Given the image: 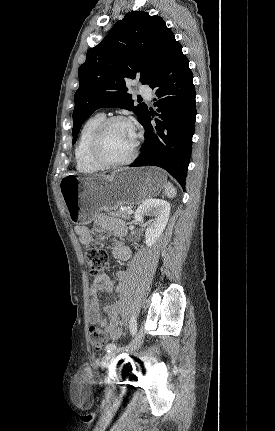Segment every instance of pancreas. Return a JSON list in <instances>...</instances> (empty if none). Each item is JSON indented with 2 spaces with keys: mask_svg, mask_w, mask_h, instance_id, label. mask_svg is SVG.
<instances>
[{
  "mask_svg": "<svg viewBox=\"0 0 275 431\" xmlns=\"http://www.w3.org/2000/svg\"><path fill=\"white\" fill-rule=\"evenodd\" d=\"M104 210L106 212L110 211L109 208H104ZM114 210L115 211L111 213L113 216L119 217V218H122V219H129L130 218V215L127 213L126 210H121V209H118V208H115Z\"/></svg>",
  "mask_w": 275,
  "mask_h": 431,
  "instance_id": "obj_1",
  "label": "pancreas"
}]
</instances>
